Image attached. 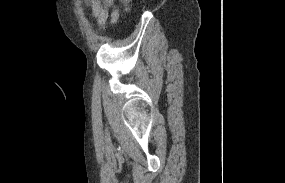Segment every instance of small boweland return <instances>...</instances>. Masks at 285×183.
<instances>
[{"mask_svg":"<svg viewBox=\"0 0 285 183\" xmlns=\"http://www.w3.org/2000/svg\"><path fill=\"white\" fill-rule=\"evenodd\" d=\"M115 0H85L91 8L92 17L97 24L105 27L107 23L114 25L119 18V10L113 9L109 14V9L113 7Z\"/></svg>","mask_w":285,"mask_h":183,"instance_id":"c3829d8e","label":"small bowel"}]
</instances>
